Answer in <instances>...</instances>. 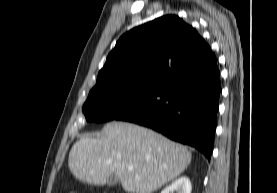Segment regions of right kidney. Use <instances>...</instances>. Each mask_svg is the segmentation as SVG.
I'll return each mask as SVG.
<instances>
[{"mask_svg":"<svg viewBox=\"0 0 277 193\" xmlns=\"http://www.w3.org/2000/svg\"><path fill=\"white\" fill-rule=\"evenodd\" d=\"M192 186L189 178L182 176L166 187L161 193H191Z\"/></svg>","mask_w":277,"mask_h":193,"instance_id":"right-kidney-1","label":"right kidney"}]
</instances>
